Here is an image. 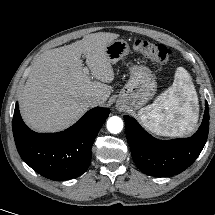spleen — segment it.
<instances>
[{
    "mask_svg": "<svg viewBox=\"0 0 215 215\" xmlns=\"http://www.w3.org/2000/svg\"><path fill=\"white\" fill-rule=\"evenodd\" d=\"M198 100L191 77L178 67L172 86L138 116L151 132L162 136H184L194 131L198 121Z\"/></svg>",
    "mask_w": 215,
    "mask_h": 215,
    "instance_id": "obj_1",
    "label": "spleen"
}]
</instances>
